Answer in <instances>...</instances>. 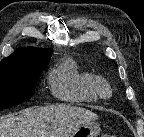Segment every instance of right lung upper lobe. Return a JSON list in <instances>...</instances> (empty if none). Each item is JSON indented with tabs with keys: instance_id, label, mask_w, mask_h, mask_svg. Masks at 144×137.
Returning a JSON list of instances; mask_svg holds the SVG:
<instances>
[{
	"instance_id": "right-lung-upper-lobe-1",
	"label": "right lung upper lobe",
	"mask_w": 144,
	"mask_h": 137,
	"mask_svg": "<svg viewBox=\"0 0 144 137\" xmlns=\"http://www.w3.org/2000/svg\"><path fill=\"white\" fill-rule=\"evenodd\" d=\"M52 49L20 48L1 61L0 66L35 65L50 61Z\"/></svg>"
}]
</instances>
